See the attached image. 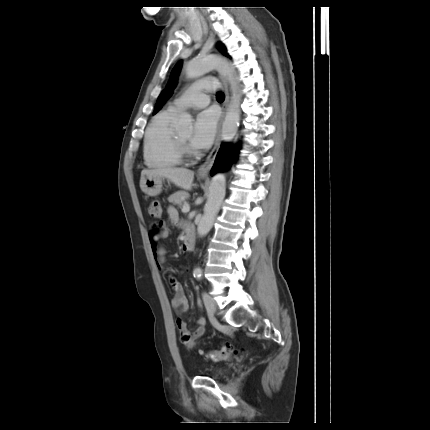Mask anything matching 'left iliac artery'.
<instances>
[{"mask_svg":"<svg viewBox=\"0 0 430 430\" xmlns=\"http://www.w3.org/2000/svg\"><path fill=\"white\" fill-rule=\"evenodd\" d=\"M193 275L195 278L200 279L202 277V270L201 269H195L193 271Z\"/></svg>","mask_w":430,"mask_h":430,"instance_id":"1","label":"left iliac artery"}]
</instances>
